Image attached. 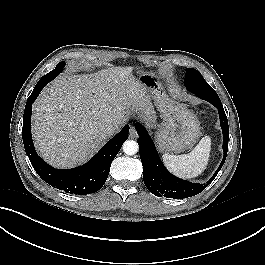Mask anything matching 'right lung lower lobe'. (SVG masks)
I'll use <instances>...</instances> for the list:
<instances>
[{"label": "right lung lower lobe", "mask_w": 265, "mask_h": 265, "mask_svg": "<svg viewBox=\"0 0 265 265\" xmlns=\"http://www.w3.org/2000/svg\"><path fill=\"white\" fill-rule=\"evenodd\" d=\"M50 81L49 78L42 77L36 84L26 103L22 129L26 154L37 174L52 187L71 194L85 195L94 193L104 185L109 175L113 159L121 149L122 144L128 139L129 126L126 125L86 164L66 170L55 169L49 166L37 155L34 149L31 136V112L32 103L44 86Z\"/></svg>", "instance_id": "1"}]
</instances>
